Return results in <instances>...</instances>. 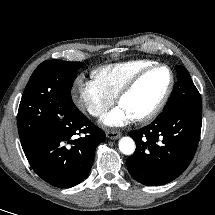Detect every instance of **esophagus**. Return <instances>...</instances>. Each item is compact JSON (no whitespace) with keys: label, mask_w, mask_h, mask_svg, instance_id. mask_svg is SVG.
I'll list each match as a JSON object with an SVG mask.
<instances>
[{"label":"esophagus","mask_w":215,"mask_h":215,"mask_svg":"<svg viewBox=\"0 0 215 215\" xmlns=\"http://www.w3.org/2000/svg\"><path fill=\"white\" fill-rule=\"evenodd\" d=\"M106 136L110 139H118L121 137V133L118 131H108L106 132Z\"/></svg>","instance_id":"esophagus-1"}]
</instances>
